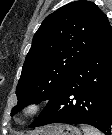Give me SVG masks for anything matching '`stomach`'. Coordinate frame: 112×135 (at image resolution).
<instances>
[{
	"label": "stomach",
	"instance_id": "0dacf381",
	"mask_svg": "<svg viewBox=\"0 0 112 135\" xmlns=\"http://www.w3.org/2000/svg\"><path fill=\"white\" fill-rule=\"evenodd\" d=\"M41 135H81V132L75 126L54 125L44 129Z\"/></svg>",
	"mask_w": 112,
	"mask_h": 135
}]
</instances>
